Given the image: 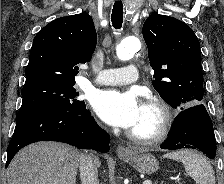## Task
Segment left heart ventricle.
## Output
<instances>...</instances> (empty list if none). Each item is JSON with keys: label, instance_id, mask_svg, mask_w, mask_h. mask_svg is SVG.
<instances>
[{"label": "left heart ventricle", "instance_id": "obj_1", "mask_svg": "<svg viewBox=\"0 0 224 184\" xmlns=\"http://www.w3.org/2000/svg\"><path fill=\"white\" fill-rule=\"evenodd\" d=\"M159 118L160 116L155 109L142 106L139 119L131 131L140 136H151L157 129Z\"/></svg>", "mask_w": 224, "mask_h": 184}]
</instances>
